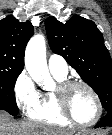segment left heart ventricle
Listing matches in <instances>:
<instances>
[{"label":"left heart ventricle","mask_w":112,"mask_h":135,"mask_svg":"<svg viewBox=\"0 0 112 135\" xmlns=\"http://www.w3.org/2000/svg\"><path fill=\"white\" fill-rule=\"evenodd\" d=\"M69 106L74 117L81 122H88L96 115V103L84 87L77 86L68 95Z\"/></svg>","instance_id":"left-heart-ventricle-1"}]
</instances>
